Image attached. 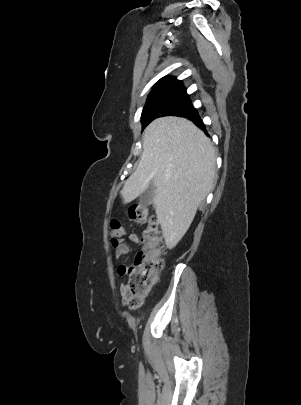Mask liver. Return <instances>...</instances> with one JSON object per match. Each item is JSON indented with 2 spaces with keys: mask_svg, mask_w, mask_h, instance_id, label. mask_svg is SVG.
<instances>
[{
  "mask_svg": "<svg viewBox=\"0 0 301 405\" xmlns=\"http://www.w3.org/2000/svg\"><path fill=\"white\" fill-rule=\"evenodd\" d=\"M143 153L121 191L124 203L155 185L153 205L166 245L172 249L190 227L213 187L216 151L191 121L161 117L143 132Z\"/></svg>",
  "mask_w": 301,
  "mask_h": 405,
  "instance_id": "liver-1",
  "label": "liver"
}]
</instances>
